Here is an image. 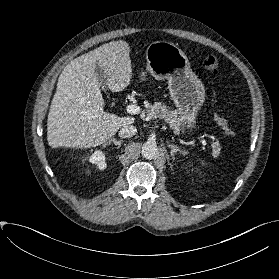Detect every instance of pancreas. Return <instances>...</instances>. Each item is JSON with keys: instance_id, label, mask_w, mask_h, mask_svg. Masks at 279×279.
<instances>
[{"instance_id": "pancreas-1", "label": "pancreas", "mask_w": 279, "mask_h": 279, "mask_svg": "<svg viewBox=\"0 0 279 279\" xmlns=\"http://www.w3.org/2000/svg\"><path fill=\"white\" fill-rule=\"evenodd\" d=\"M148 114L155 117L164 119L175 133L181 131V118L177 111L171 110L170 107L161 102H155L153 105L148 106ZM218 143H214V148L217 149Z\"/></svg>"}]
</instances>
